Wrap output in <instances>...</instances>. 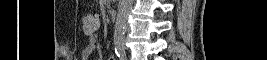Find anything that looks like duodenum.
Segmentation results:
<instances>
[{
    "instance_id": "obj_1",
    "label": "duodenum",
    "mask_w": 267,
    "mask_h": 60,
    "mask_svg": "<svg viewBox=\"0 0 267 60\" xmlns=\"http://www.w3.org/2000/svg\"><path fill=\"white\" fill-rule=\"evenodd\" d=\"M109 16L112 20L117 19L118 13L116 9H110L109 10Z\"/></svg>"
}]
</instances>
